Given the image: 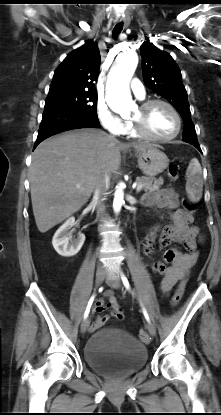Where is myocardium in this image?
<instances>
[{
    "label": "myocardium",
    "mask_w": 221,
    "mask_h": 415,
    "mask_svg": "<svg viewBox=\"0 0 221 415\" xmlns=\"http://www.w3.org/2000/svg\"><path fill=\"white\" fill-rule=\"evenodd\" d=\"M155 104H161V105L166 106L172 112V114L174 115V117L176 119V130L174 131V133H172L169 136H165V137H160V136L153 135L150 132H148V130L146 129V127L144 125V122H143V119H132L133 129L139 137L150 140V141H156V142L171 141V140L175 139L181 132V129H182L181 115L178 112V110L175 108L174 105H172L170 102H168L164 99H159V98L146 100V101H144L140 104L139 108L144 113L150 107H152Z\"/></svg>",
    "instance_id": "f54148a6"
}]
</instances>
